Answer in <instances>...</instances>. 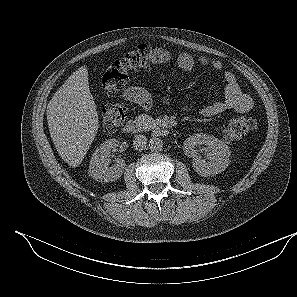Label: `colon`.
<instances>
[{
	"instance_id": "1",
	"label": "colon",
	"mask_w": 297,
	"mask_h": 297,
	"mask_svg": "<svg viewBox=\"0 0 297 297\" xmlns=\"http://www.w3.org/2000/svg\"><path fill=\"white\" fill-rule=\"evenodd\" d=\"M150 53L147 48L128 52L122 58L114 61L105 70L102 85L107 92H118L127 84L129 73L135 70H145L149 66ZM127 116V108L122 103L107 105L102 112V126L106 132L117 129ZM256 126L252 117H240L224 125L223 137L227 142L244 139Z\"/></svg>"
}]
</instances>
